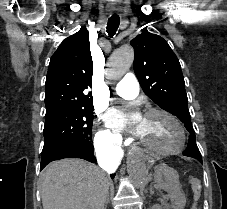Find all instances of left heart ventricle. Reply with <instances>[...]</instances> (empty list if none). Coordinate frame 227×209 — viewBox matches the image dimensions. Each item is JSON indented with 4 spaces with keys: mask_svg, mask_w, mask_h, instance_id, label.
Masks as SVG:
<instances>
[{
    "mask_svg": "<svg viewBox=\"0 0 227 209\" xmlns=\"http://www.w3.org/2000/svg\"><path fill=\"white\" fill-rule=\"evenodd\" d=\"M136 134L152 146L164 150L177 146L180 139L176 126L162 114L143 117L136 127Z\"/></svg>",
    "mask_w": 227,
    "mask_h": 209,
    "instance_id": "1",
    "label": "left heart ventricle"
}]
</instances>
